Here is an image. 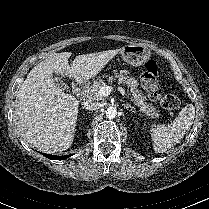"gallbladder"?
<instances>
[{
  "label": "gallbladder",
  "instance_id": "gallbladder-1",
  "mask_svg": "<svg viewBox=\"0 0 209 209\" xmlns=\"http://www.w3.org/2000/svg\"><path fill=\"white\" fill-rule=\"evenodd\" d=\"M53 79L55 83L62 89L68 90V86L62 81V79L58 75H54Z\"/></svg>",
  "mask_w": 209,
  "mask_h": 209
}]
</instances>
